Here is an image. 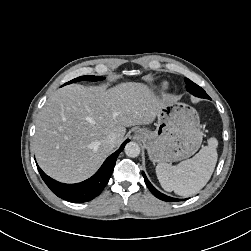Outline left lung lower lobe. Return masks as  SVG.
<instances>
[{"label": "left lung lower lobe", "mask_w": 251, "mask_h": 251, "mask_svg": "<svg viewBox=\"0 0 251 251\" xmlns=\"http://www.w3.org/2000/svg\"><path fill=\"white\" fill-rule=\"evenodd\" d=\"M142 174H143L144 181H145L147 187L149 188V190L152 192V194H153L154 196H156L157 198H159V199H161V200H163V201H168V202L181 201V199L172 198V197L166 196V195L162 194L161 192H159V191L149 182V180L147 179L145 173L142 172Z\"/></svg>", "instance_id": "0a47b994"}]
</instances>
